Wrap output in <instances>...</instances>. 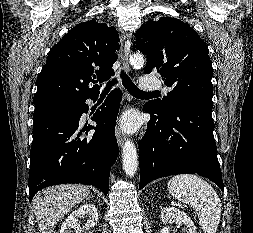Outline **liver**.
<instances>
[{
  "label": "liver",
  "instance_id": "1",
  "mask_svg": "<svg viewBox=\"0 0 253 233\" xmlns=\"http://www.w3.org/2000/svg\"><path fill=\"white\" fill-rule=\"evenodd\" d=\"M90 190L81 185H59L39 192L33 208L41 233H52L59 220L73 206L89 198Z\"/></svg>",
  "mask_w": 253,
  "mask_h": 233
}]
</instances>
